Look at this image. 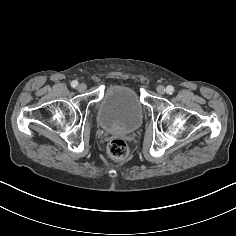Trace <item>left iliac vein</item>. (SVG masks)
<instances>
[{
  "mask_svg": "<svg viewBox=\"0 0 236 236\" xmlns=\"http://www.w3.org/2000/svg\"><path fill=\"white\" fill-rule=\"evenodd\" d=\"M156 90L160 95L165 94V87L162 85H159Z\"/></svg>",
  "mask_w": 236,
  "mask_h": 236,
  "instance_id": "4c4485c4",
  "label": "left iliac vein"
}]
</instances>
